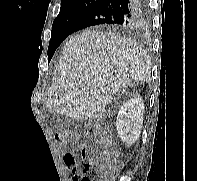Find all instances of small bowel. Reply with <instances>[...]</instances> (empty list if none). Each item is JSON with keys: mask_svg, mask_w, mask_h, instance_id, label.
<instances>
[{"mask_svg": "<svg viewBox=\"0 0 197 181\" xmlns=\"http://www.w3.org/2000/svg\"><path fill=\"white\" fill-rule=\"evenodd\" d=\"M72 138L73 139H77V135L76 134H73L72 135ZM59 141H60V144H64V138H60L59 139ZM83 150H86V149H82V151ZM82 151H81V153H82ZM87 151V150H86ZM81 153L79 154V158L81 159ZM63 156H64V162H65V164H66V166H67V168L72 172V173H75L76 172V170H77V166H78V164H77V162H78V156H77V154L76 153H73V152H65L64 154H63ZM71 181H78V177H76L75 175L71 178Z\"/></svg>", "mask_w": 197, "mask_h": 181, "instance_id": "small-bowel-1", "label": "small bowel"}]
</instances>
